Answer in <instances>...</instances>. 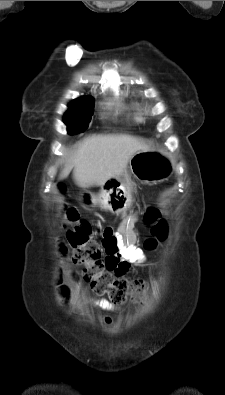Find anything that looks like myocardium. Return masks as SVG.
I'll return each mask as SVG.
<instances>
[{"mask_svg":"<svg viewBox=\"0 0 225 395\" xmlns=\"http://www.w3.org/2000/svg\"><path fill=\"white\" fill-rule=\"evenodd\" d=\"M145 111H146V113H148V114H151V113H152V109H151L150 107H147V108L145 109Z\"/></svg>","mask_w":225,"mask_h":395,"instance_id":"1","label":"myocardium"}]
</instances>
